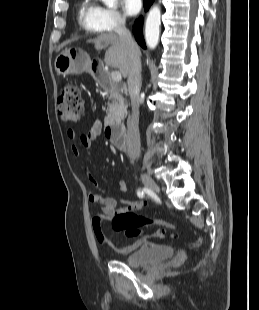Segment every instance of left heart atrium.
I'll return each instance as SVG.
<instances>
[{"label":"left heart atrium","instance_id":"39dd6f15","mask_svg":"<svg viewBox=\"0 0 259 310\" xmlns=\"http://www.w3.org/2000/svg\"><path fill=\"white\" fill-rule=\"evenodd\" d=\"M122 7L127 15L133 16L139 13L142 7L141 0H122Z\"/></svg>","mask_w":259,"mask_h":310}]
</instances>
